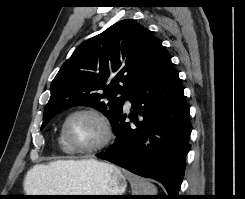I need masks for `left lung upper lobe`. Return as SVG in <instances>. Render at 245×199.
<instances>
[{
    "label": "left lung upper lobe",
    "mask_w": 245,
    "mask_h": 199,
    "mask_svg": "<svg viewBox=\"0 0 245 199\" xmlns=\"http://www.w3.org/2000/svg\"><path fill=\"white\" fill-rule=\"evenodd\" d=\"M163 50L159 39L131 19L84 42L52 81L41 129L59 112L78 105L96 108L113 122Z\"/></svg>",
    "instance_id": "left-lung-upper-lobe-1"
}]
</instances>
